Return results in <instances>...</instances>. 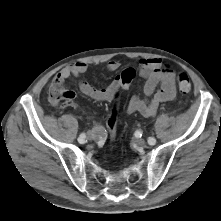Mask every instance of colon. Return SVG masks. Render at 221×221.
Masks as SVG:
<instances>
[{
    "instance_id": "1",
    "label": "colon",
    "mask_w": 221,
    "mask_h": 221,
    "mask_svg": "<svg viewBox=\"0 0 221 221\" xmlns=\"http://www.w3.org/2000/svg\"><path fill=\"white\" fill-rule=\"evenodd\" d=\"M177 82L180 91L183 94H187L191 91L192 85L190 79L187 74L180 73L177 76ZM129 81H124L123 84H128ZM48 98L51 103L58 104L64 100H74L75 93L69 90H66L62 83L59 81H54L48 91ZM120 96L118 91L114 95L115 106L113 107L107 121L108 132L110 139L113 140L116 135V124H117V116H118V107L117 104L119 102Z\"/></svg>"
}]
</instances>
